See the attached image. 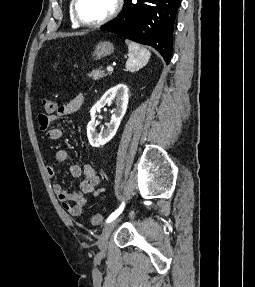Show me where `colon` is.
<instances>
[{
	"instance_id": "1",
	"label": "colon",
	"mask_w": 255,
	"mask_h": 287,
	"mask_svg": "<svg viewBox=\"0 0 255 287\" xmlns=\"http://www.w3.org/2000/svg\"><path fill=\"white\" fill-rule=\"evenodd\" d=\"M42 105H43L45 113L48 115L55 113L57 109L56 103L49 98H44L42 100ZM103 219H104L103 215L95 214L91 216V223L93 225H99L103 222Z\"/></svg>"
}]
</instances>
